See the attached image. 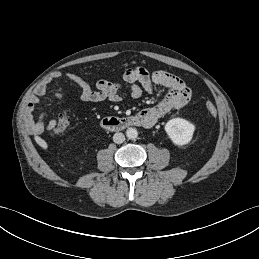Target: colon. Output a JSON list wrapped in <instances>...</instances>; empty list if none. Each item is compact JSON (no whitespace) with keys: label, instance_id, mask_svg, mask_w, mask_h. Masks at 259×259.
<instances>
[{"label":"colon","instance_id":"obj_1","mask_svg":"<svg viewBox=\"0 0 259 259\" xmlns=\"http://www.w3.org/2000/svg\"><path fill=\"white\" fill-rule=\"evenodd\" d=\"M206 111L211 116H216L217 110L213 103L207 102L205 105ZM71 127V117L67 113H63L59 116L57 123L53 129L55 135H61L66 133Z\"/></svg>","mask_w":259,"mask_h":259}]
</instances>
